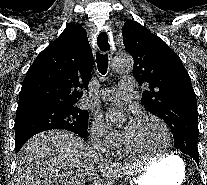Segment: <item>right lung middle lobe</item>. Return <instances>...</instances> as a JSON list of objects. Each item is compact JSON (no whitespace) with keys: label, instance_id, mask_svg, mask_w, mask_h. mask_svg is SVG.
<instances>
[{"label":"right lung middle lobe","instance_id":"obj_1","mask_svg":"<svg viewBox=\"0 0 207 185\" xmlns=\"http://www.w3.org/2000/svg\"><path fill=\"white\" fill-rule=\"evenodd\" d=\"M89 113L86 110L61 107H31L17 110L15 118V147L33 135L49 129H65L86 137Z\"/></svg>","mask_w":207,"mask_h":185}]
</instances>
